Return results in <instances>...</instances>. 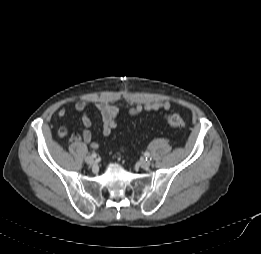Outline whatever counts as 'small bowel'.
Returning <instances> with one entry per match:
<instances>
[{
    "label": "small bowel",
    "mask_w": 261,
    "mask_h": 254,
    "mask_svg": "<svg viewBox=\"0 0 261 254\" xmlns=\"http://www.w3.org/2000/svg\"><path fill=\"white\" fill-rule=\"evenodd\" d=\"M90 106V102L86 100H80L75 103L74 108L77 112H80L81 122L84 127L81 134L73 133L70 135V140L73 142L84 141L91 148L97 149L99 144L96 140L93 139L90 127L92 125V120L90 116L87 114L86 110ZM96 108L99 110L102 121H103V135L109 137L113 130L117 127V116L119 114V108L116 105L107 103V102H97L95 104ZM172 107V103L169 101H154V102H146L142 104H136L131 107L128 111L129 115L137 116L142 112H152L159 110H168ZM58 117L65 118L67 115V111L65 108H61L57 112ZM58 135L60 137L69 136V131L65 127H61L58 130Z\"/></svg>",
    "instance_id": "1"
}]
</instances>
